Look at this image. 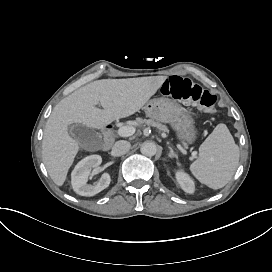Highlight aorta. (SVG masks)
<instances>
[{
	"label": "aorta",
	"mask_w": 272,
	"mask_h": 272,
	"mask_svg": "<svg viewBox=\"0 0 272 272\" xmlns=\"http://www.w3.org/2000/svg\"><path fill=\"white\" fill-rule=\"evenodd\" d=\"M140 151L145 156H154L157 152V146L153 142H144L141 145Z\"/></svg>",
	"instance_id": "762f6f07"
}]
</instances>
